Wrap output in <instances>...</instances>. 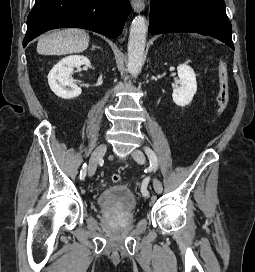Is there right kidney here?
<instances>
[{"label":"right kidney","instance_id":"obj_1","mask_svg":"<svg viewBox=\"0 0 255 272\" xmlns=\"http://www.w3.org/2000/svg\"><path fill=\"white\" fill-rule=\"evenodd\" d=\"M81 65L91 67L90 60L83 55H72L63 58L51 69L48 83L58 97L72 99L81 94V88L70 79L73 68Z\"/></svg>","mask_w":255,"mask_h":272}]
</instances>
